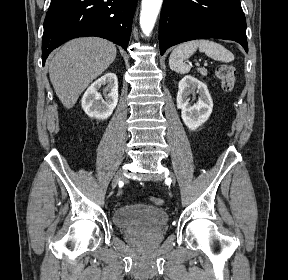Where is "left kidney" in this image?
<instances>
[{
  "instance_id": "1",
  "label": "left kidney",
  "mask_w": 288,
  "mask_h": 280,
  "mask_svg": "<svg viewBox=\"0 0 288 280\" xmlns=\"http://www.w3.org/2000/svg\"><path fill=\"white\" fill-rule=\"evenodd\" d=\"M195 92L199 94V97L192 105L189 95ZM176 103L177 108L181 109L184 124L192 131L208 120L213 109V101L207 86L190 75L179 81Z\"/></svg>"
}]
</instances>
